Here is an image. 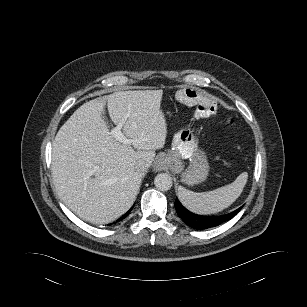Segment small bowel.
Segmentation results:
<instances>
[{
    "label": "small bowel",
    "instance_id": "small-bowel-1",
    "mask_svg": "<svg viewBox=\"0 0 307 307\" xmlns=\"http://www.w3.org/2000/svg\"><path fill=\"white\" fill-rule=\"evenodd\" d=\"M180 100L186 104H195V119L206 118L212 116L216 112V104L214 101L199 96L195 91H181Z\"/></svg>",
    "mask_w": 307,
    "mask_h": 307
}]
</instances>
